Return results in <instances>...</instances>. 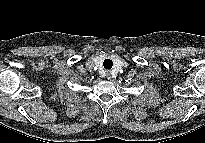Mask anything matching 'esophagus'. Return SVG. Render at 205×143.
<instances>
[{"instance_id": "obj_1", "label": "esophagus", "mask_w": 205, "mask_h": 143, "mask_svg": "<svg viewBox=\"0 0 205 143\" xmlns=\"http://www.w3.org/2000/svg\"><path fill=\"white\" fill-rule=\"evenodd\" d=\"M106 76H107L108 79H111L110 72L107 71Z\"/></svg>"}]
</instances>
